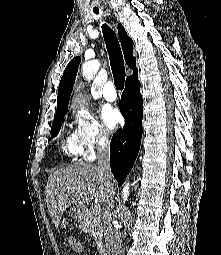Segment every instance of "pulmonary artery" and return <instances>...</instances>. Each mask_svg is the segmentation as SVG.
I'll use <instances>...</instances> for the list:
<instances>
[{"instance_id":"1","label":"pulmonary artery","mask_w":221,"mask_h":255,"mask_svg":"<svg viewBox=\"0 0 221 255\" xmlns=\"http://www.w3.org/2000/svg\"><path fill=\"white\" fill-rule=\"evenodd\" d=\"M102 94L107 101H114L117 98L115 85L113 82L108 81L104 84Z\"/></svg>"}]
</instances>
